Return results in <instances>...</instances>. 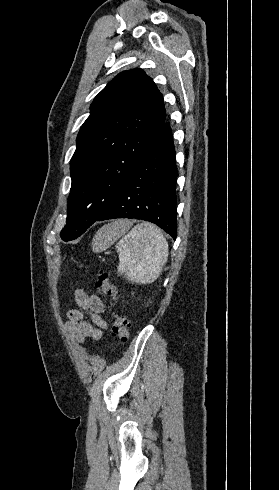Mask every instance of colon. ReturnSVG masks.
I'll return each mask as SVG.
<instances>
[{"instance_id": "5ec220e1", "label": "colon", "mask_w": 279, "mask_h": 490, "mask_svg": "<svg viewBox=\"0 0 279 490\" xmlns=\"http://www.w3.org/2000/svg\"><path fill=\"white\" fill-rule=\"evenodd\" d=\"M94 285L102 296L113 299H116L118 297L116 286L108 274L103 273L97 276ZM129 334V320L124 317H118L117 319H115L113 323V335L123 342L128 340Z\"/></svg>"}]
</instances>
